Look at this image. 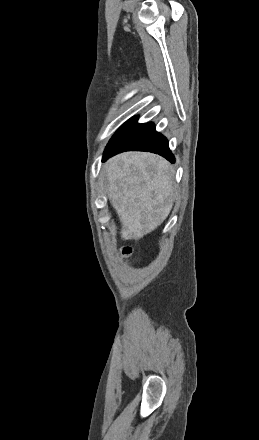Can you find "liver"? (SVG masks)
I'll return each mask as SVG.
<instances>
[{"label":"liver","instance_id":"1","mask_svg":"<svg viewBox=\"0 0 259 440\" xmlns=\"http://www.w3.org/2000/svg\"><path fill=\"white\" fill-rule=\"evenodd\" d=\"M108 198L122 224L121 238L139 240L169 215L175 198L174 171L151 153L127 152L106 163Z\"/></svg>","mask_w":259,"mask_h":440}]
</instances>
